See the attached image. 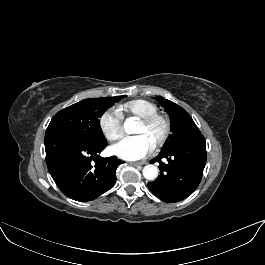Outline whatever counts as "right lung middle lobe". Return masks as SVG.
<instances>
[{
	"label": "right lung middle lobe",
	"mask_w": 265,
	"mask_h": 265,
	"mask_svg": "<svg viewBox=\"0 0 265 265\" xmlns=\"http://www.w3.org/2000/svg\"><path fill=\"white\" fill-rule=\"evenodd\" d=\"M125 96L84 99L59 111L51 120L46 134H73L91 142H103L99 118Z\"/></svg>",
	"instance_id": "right-lung-middle-lobe-1"
}]
</instances>
